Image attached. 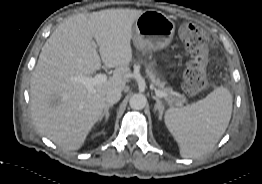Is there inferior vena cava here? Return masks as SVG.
I'll use <instances>...</instances> for the list:
<instances>
[{
  "label": "inferior vena cava",
  "mask_w": 262,
  "mask_h": 184,
  "mask_svg": "<svg viewBox=\"0 0 262 184\" xmlns=\"http://www.w3.org/2000/svg\"><path fill=\"white\" fill-rule=\"evenodd\" d=\"M121 98V91L118 89H112L106 94V103L107 104H115Z\"/></svg>",
  "instance_id": "inferior-vena-cava-1"
}]
</instances>
